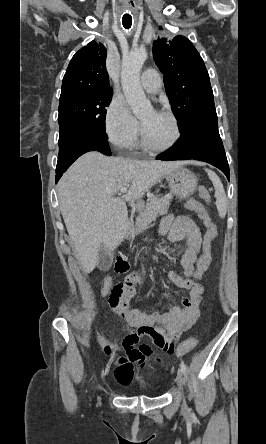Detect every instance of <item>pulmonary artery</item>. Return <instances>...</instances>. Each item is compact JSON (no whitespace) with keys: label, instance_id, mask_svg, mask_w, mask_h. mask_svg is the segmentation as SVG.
Wrapping results in <instances>:
<instances>
[{"label":"pulmonary artery","instance_id":"1","mask_svg":"<svg viewBox=\"0 0 266 444\" xmlns=\"http://www.w3.org/2000/svg\"><path fill=\"white\" fill-rule=\"evenodd\" d=\"M141 86L149 93L157 92L162 85L159 72L153 68L146 69L141 75Z\"/></svg>","mask_w":266,"mask_h":444}]
</instances>
